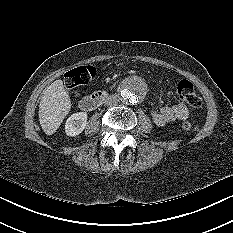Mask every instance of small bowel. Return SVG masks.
I'll return each mask as SVG.
<instances>
[{"mask_svg": "<svg viewBox=\"0 0 233 233\" xmlns=\"http://www.w3.org/2000/svg\"><path fill=\"white\" fill-rule=\"evenodd\" d=\"M151 116L157 126L164 127L177 120L186 119L189 116V109L183 102H178L153 110Z\"/></svg>", "mask_w": 233, "mask_h": 233, "instance_id": "1", "label": "small bowel"}]
</instances>
